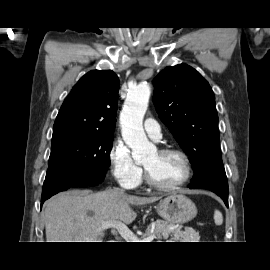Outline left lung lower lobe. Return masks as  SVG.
Returning <instances> with one entry per match:
<instances>
[{"label":"left lung lower lobe","instance_id":"left-lung-lower-lobe-1","mask_svg":"<svg viewBox=\"0 0 270 270\" xmlns=\"http://www.w3.org/2000/svg\"><path fill=\"white\" fill-rule=\"evenodd\" d=\"M188 187L210 190L220 196L228 207V181L224 169H212L202 178L193 181Z\"/></svg>","mask_w":270,"mask_h":270}]
</instances>
